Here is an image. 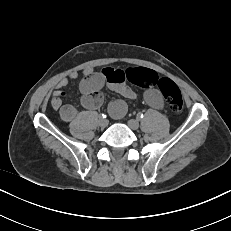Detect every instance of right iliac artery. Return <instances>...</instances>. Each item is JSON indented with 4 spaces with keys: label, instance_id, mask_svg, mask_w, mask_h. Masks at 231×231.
<instances>
[{
    "label": "right iliac artery",
    "instance_id": "1",
    "mask_svg": "<svg viewBox=\"0 0 231 231\" xmlns=\"http://www.w3.org/2000/svg\"><path fill=\"white\" fill-rule=\"evenodd\" d=\"M100 117H101V118H106V115H105V114H101Z\"/></svg>",
    "mask_w": 231,
    "mask_h": 231
}]
</instances>
